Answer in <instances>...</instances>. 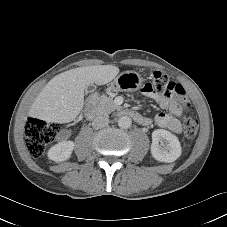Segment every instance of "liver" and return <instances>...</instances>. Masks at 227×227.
<instances>
[{"instance_id": "liver-1", "label": "liver", "mask_w": 227, "mask_h": 227, "mask_svg": "<svg viewBox=\"0 0 227 227\" xmlns=\"http://www.w3.org/2000/svg\"><path fill=\"white\" fill-rule=\"evenodd\" d=\"M119 73L112 65L79 67L52 78L33 102L30 114L51 123H69L84 105V90L90 84L105 85Z\"/></svg>"}]
</instances>
